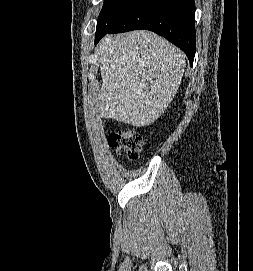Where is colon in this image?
I'll return each mask as SVG.
<instances>
[{"label": "colon", "instance_id": "5ec220e1", "mask_svg": "<svg viewBox=\"0 0 253 271\" xmlns=\"http://www.w3.org/2000/svg\"><path fill=\"white\" fill-rule=\"evenodd\" d=\"M108 144L119 154L126 155L130 160H136L143 147V137L132 129L118 130L110 134Z\"/></svg>", "mask_w": 253, "mask_h": 271}]
</instances>
